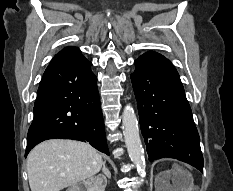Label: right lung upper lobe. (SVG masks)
<instances>
[{
	"instance_id": "cb5924a9",
	"label": "right lung upper lobe",
	"mask_w": 233,
	"mask_h": 191,
	"mask_svg": "<svg viewBox=\"0 0 233 191\" xmlns=\"http://www.w3.org/2000/svg\"><path fill=\"white\" fill-rule=\"evenodd\" d=\"M79 57H83V56H82V54L80 53V51L77 48H75V47H67V48L63 49L62 51H60L52 59V61L63 59V58H79Z\"/></svg>"
}]
</instances>
